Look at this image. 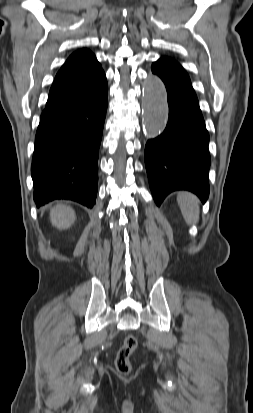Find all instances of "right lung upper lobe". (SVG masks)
Returning a JSON list of instances; mask_svg holds the SVG:
<instances>
[{"label": "right lung upper lobe", "mask_w": 253, "mask_h": 413, "mask_svg": "<svg viewBox=\"0 0 253 413\" xmlns=\"http://www.w3.org/2000/svg\"><path fill=\"white\" fill-rule=\"evenodd\" d=\"M105 79L95 55L87 49L78 50L57 73L45 109L88 95L97 90Z\"/></svg>", "instance_id": "right-lung-upper-lobe-1"}]
</instances>
